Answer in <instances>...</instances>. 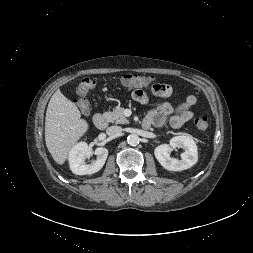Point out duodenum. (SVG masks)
<instances>
[{
  "label": "duodenum",
  "mask_w": 253,
  "mask_h": 253,
  "mask_svg": "<svg viewBox=\"0 0 253 253\" xmlns=\"http://www.w3.org/2000/svg\"><path fill=\"white\" fill-rule=\"evenodd\" d=\"M93 124L97 129L103 130L107 127V119L102 114H96L93 117ZM144 128H148L149 125L147 123H143Z\"/></svg>",
  "instance_id": "obj_1"
}]
</instances>
